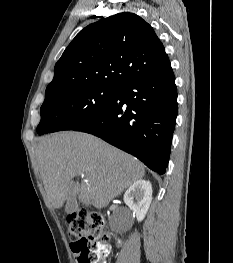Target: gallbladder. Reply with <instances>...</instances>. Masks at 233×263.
Returning a JSON list of instances; mask_svg holds the SVG:
<instances>
[{"label":"gallbladder","mask_w":233,"mask_h":263,"mask_svg":"<svg viewBox=\"0 0 233 263\" xmlns=\"http://www.w3.org/2000/svg\"><path fill=\"white\" fill-rule=\"evenodd\" d=\"M73 187V186H72ZM78 209V203L76 198L71 195L70 198L68 199L66 206H65V212L67 214H72Z\"/></svg>","instance_id":"1"}]
</instances>
